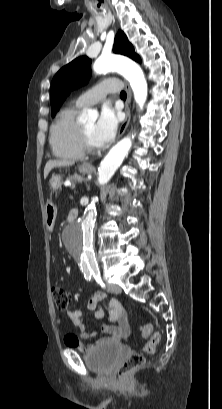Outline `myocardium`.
I'll list each match as a JSON object with an SVG mask.
<instances>
[{
    "label": "myocardium",
    "instance_id": "obj_1",
    "mask_svg": "<svg viewBox=\"0 0 222 409\" xmlns=\"http://www.w3.org/2000/svg\"><path fill=\"white\" fill-rule=\"evenodd\" d=\"M79 145L83 152L85 153H96L98 152V148L94 147L90 144L89 139L87 137L86 131L82 124H80L79 128Z\"/></svg>",
    "mask_w": 222,
    "mask_h": 409
}]
</instances>
